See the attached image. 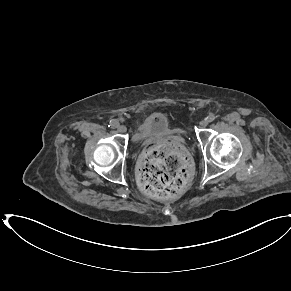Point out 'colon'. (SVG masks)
Masks as SVG:
<instances>
[{
  "label": "colon",
  "mask_w": 291,
  "mask_h": 291,
  "mask_svg": "<svg viewBox=\"0 0 291 291\" xmlns=\"http://www.w3.org/2000/svg\"><path fill=\"white\" fill-rule=\"evenodd\" d=\"M190 176V165L180 147L172 142L149 146L139 167V184L148 195L167 198L183 191Z\"/></svg>",
  "instance_id": "obj_1"
}]
</instances>
